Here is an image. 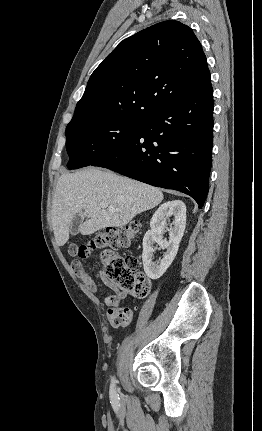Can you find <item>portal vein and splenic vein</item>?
I'll use <instances>...</instances> for the list:
<instances>
[{"instance_id": "1", "label": "portal vein and splenic vein", "mask_w": 262, "mask_h": 431, "mask_svg": "<svg viewBox=\"0 0 262 431\" xmlns=\"http://www.w3.org/2000/svg\"><path fill=\"white\" fill-rule=\"evenodd\" d=\"M100 206L103 208H108L109 211H115V208L109 206L107 203L105 202H100Z\"/></svg>"}]
</instances>
